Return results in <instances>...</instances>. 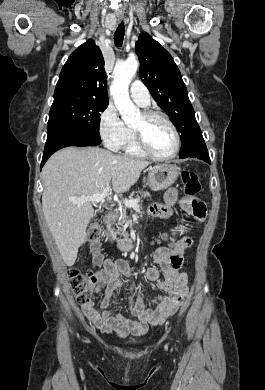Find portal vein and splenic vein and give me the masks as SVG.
Instances as JSON below:
<instances>
[{
  "label": "portal vein and splenic vein",
  "mask_w": 265,
  "mask_h": 390,
  "mask_svg": "<svg viewBox=\"0 0 265 390\" xmlns=\"http://www.w3.org/2000/svg\"><path fill=\"white\" fill-rule=\"evenodd\" d=\"M109 185H107L104 189V191L100 194H94L92 196H87V197H82V198H69V200L74 203V204H84V203H87V202H91V203H99L101 201H103L107 195H108V192H109ZM108 201H110V199H108ZM140 199H134V200H127L125 199L123 201L124 205L126 207H135L138 205Z\"/></svg>",
  "instance_id": "18ae733b"
}]
</instances>
